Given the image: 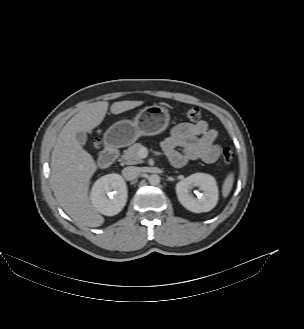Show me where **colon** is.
<instances>
[{
	"label": "colon",
	"mask_w": 304,
	"mask_h": 329,
	"mask_svg": "<svg viewBox=\"0 0 304 329\" xmlns=\"http://www.w3.org/2000/svg\"><path fill=\"white\" fill-rule=\"evenodd\" d=\"M186 117L191 121H199L201 111L198 108H190L186 111ZM222 158L225 163H231L234 159V152L230 147H224L222 150Z\"/></svg>",
	"instance_id": "1"
}]
</instances>
